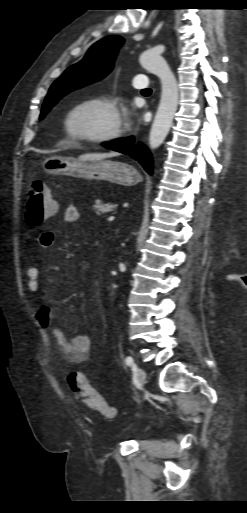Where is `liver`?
Instances as JSON below:
<instances>
[{"label": "liver", "mask_w": 247, "mask_h": 513, "mask_svg": "<svg viewBox=\"0 0 247 513\" xmlns=\"http://www.w3.org/2000/svg\"><path fill=\"white\" fill-rule=\"evenodd\" d=\"M118 153L110 152V153H87L80 156L81 159L84 160H96V159H104L107 157L117 156Z\"/></svg>", "instance_id": "liver-1"}]
</instances>
